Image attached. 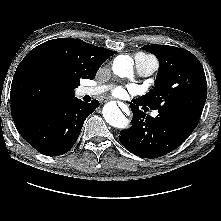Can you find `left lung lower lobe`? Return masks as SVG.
<instances>
[{
    "mask_svg": "<svg viewBox=\"0 0 221 221\" xmlns=\"http://www.w3.org/2000/svg\"><path fill=\"white\" fill-rule=\"evenodd\" d=\"M136 105L137 99L133 100ZM131 104L132 126L120 132L119 140L133 154L144 158L163 156L179 147L193 132L196 125L176 115L159 113L155 118Z\"/></svg>",
    "mask_w": 221,
    "mask_h": 221,
    "instance_id": "obj_1",
    "label": "left lung lower lobe"
}]
</instances>
